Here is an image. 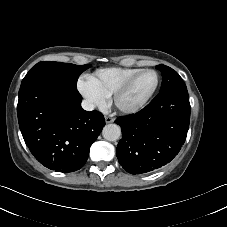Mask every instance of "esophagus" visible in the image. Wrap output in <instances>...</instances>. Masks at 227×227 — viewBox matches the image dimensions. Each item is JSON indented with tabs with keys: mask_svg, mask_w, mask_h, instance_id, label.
<instances>
[{
	"mask_svg": "<svg viewBox=\"0 0 227 227\" xmlns=\"http://www.w3.org/2000/svg\"><path fill=\"white\" fill-rule=\"evenodd\" d=\"M105 122L108 123H113L114 122V118L111 116H105Z\"/></svg>",
	"mask_w": 227,
	"mask_h": 227,
	"instance_id": "esophagus-1",
	"label": "esophagus"
}]
</instances>
